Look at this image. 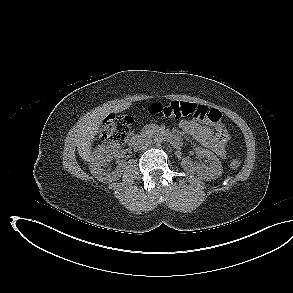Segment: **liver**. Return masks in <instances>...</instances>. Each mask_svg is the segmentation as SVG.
<instances>
[{
  "instance_id": "6515ba94",
  "label": "liver",
  "mask_w": 293,
  "mask_h": 293,
  "mask_svg": "<svg viewBox=\"0 0 293 293\" xmlns=\"http://www.w3.org/2000/svg\"><path fill=\"white\" fill-rule=\"evenodd\" d=\"M130 105V102H123L115 106L99 108L81 119L76 129L75 142L79 156L84 161L88 162L91 159L92 142L103 119L110 113H118L129 108Z\"/></svg>"
}]
</instances>
